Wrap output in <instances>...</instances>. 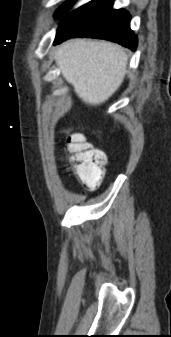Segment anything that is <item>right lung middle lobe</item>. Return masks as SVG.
<instances>
[{
  "instance_id": "obj_1",
  "label": "right lung middle lobe",
  "mask_w": 171,
  "mask_h": 337,
  "mask_svg": "<svg viewBox=\"0 0 171 337\" xmlns=\"http://www.w3.org/2000/svg\"><path fill=\"white\" fill-rule=\"evenodd\" d=\"M75 1L76 0H68L67 2H65L63 6L60 7L59 10L56 12L57 17L60 18L62 14H64Z\"/></svg>"
}]
</instances>
